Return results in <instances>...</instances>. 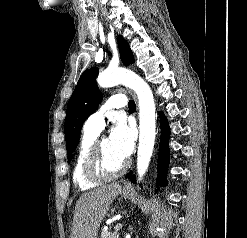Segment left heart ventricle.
Instances as JSON below:
<instances>
[{
  "mask_svg": "<svg viewBox=\"0 0 247 238\" xmlns=\"http://www.w3.org/2000/svg\"><path fill=\"white\" fill-rule=\"evenodd\" d=\"M102 155L105 167L111 171L119 169L125 161L115 152L108 138L102 143Z\"/></svg>",
  "mask_w": 247,
  "mask_h": 238,
  "instance_id": "obj_1",
  "label": "left heart ventricle"
}]
</instances>
